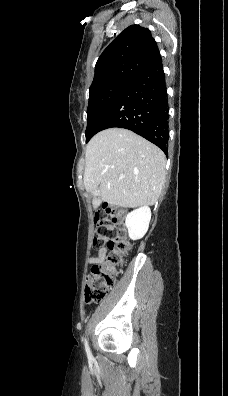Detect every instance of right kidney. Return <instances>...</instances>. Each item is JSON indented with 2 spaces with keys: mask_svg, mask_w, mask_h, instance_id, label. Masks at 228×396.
I'll return each instance as SVG.
<instances>
[{
  "mask_svg": "<svg viewBox=\"0 0 228 396\" xmlns=\"http://www.w3.org/2000/svg\"><path fill=\"white\" fill-rule=\"evenodd\" d=\"M150 219L151 210L148 206H142L130 212L125 220L129 237L133 240L142 238L149 228Z\"/></svg>",
  "mask_w": 228,
  "mask_h": 396,
  "instance_id": "right-kidney-1",
  "label": "right kidney"
}]
</instances>
